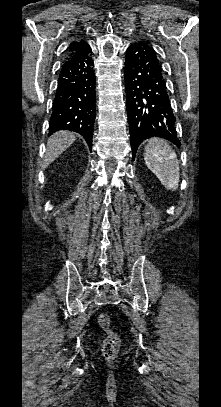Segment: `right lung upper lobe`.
<instances>
[{"mask_svg":"<svg viewBox=\"0 0 221 407\" xmlns=\"http://www.w3.org/2000/svg\"><path fill=\"white\" fill-rule=\"evenodd\" d=\"M85 44H86V42L83 41V40L72 42V43L69 45L68 49H67L66 57L71 56V55L74 54L77 50H80Z\"/></svg>","mask_w":221,"mask_h":407,"instance_id":"cb5924a9","label":"right lung upper lobe"}]
</instances>
